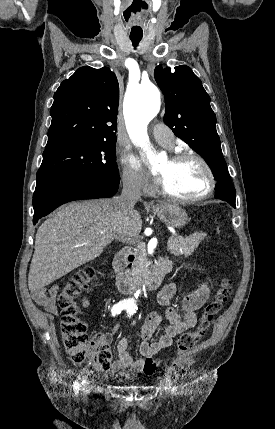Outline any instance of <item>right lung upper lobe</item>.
<instances>
[{"mask_svg": "<svg viewBox=\"0 0 275 429\" xmlns=\"http://www.w3.org/2000/svg\"><path fill=\"white\" fill-rule=\"evenodd\" d=\"M119 85L107 67L84 66L54 94L44 152L68 145L116 139Z\"/></svg>", "mask_w": 275, "mask_h": 429, "instance_id": "1", "label": "right lung upper lobe"}]
</instances>
